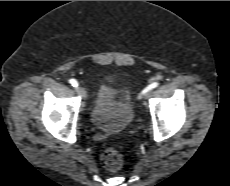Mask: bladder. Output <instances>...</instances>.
Returning a JSON list of instances; mask_svg holds the SVG:
<instances>
[{"label":"bladder","mask_w":230,"mask_h":186,"mask_svg":"<svg viewBox=\"0 0 230 186\" xmlns=\"http://www.w3.org/2000/svg\"><path fill=\"white\" fill-rule=\"evenodd\" d=\"M133 116L128 96L117 93L109 83H102L91 111V123L102 131L117 133L131 125Z\"/></svg>","instance_id":"31cf9c89"}]
</instances>
